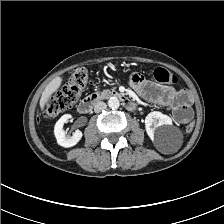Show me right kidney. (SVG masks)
<instances>
[{
	"instance_id": "right-kidney-1",
	"label": "right kidney",
	"mask_w": 224,
	"mask_h": 224,
	"mask_svg": "<svg viewBox=\"0 0 224 224\" xmlns=\"http://www.w3.org/2000/svg\"><path fill=\"white\" fill-rule=\"evenodd\" d=\"M72 118L71 115H63L55 124L54 135L57 139V143L65 148L75 146L82 138L83 134L80 130H76L70 137L66 135L63 130L64 123H67Z\"/></svg>"
}]
</instances>
